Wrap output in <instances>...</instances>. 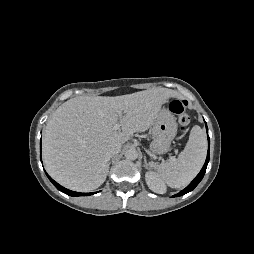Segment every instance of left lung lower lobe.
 Segmentation results:
<instances>
[{"mask_svg":"<svg viewBox=\"0 0 254 254\" xmlns=\"http://www.w3.org/2000/svg\"><path fill=\"white\" fill-rule=\"evenodd\" d=\"M206 129H207V133H208L207 125H206ZM209 145H210V139L208 136V153H207V158H206L203 168L201 169L200 173L194 178V180L185 189H183L182 191H180L178 194L174 195L173 197L182 196V195L192 191L199 184V182L202 180V178L205 174L208 162H209Z\"/></svg>","mask_w":254,"mask_h":254,"instance_id":"1","label":"left lung lower lobe"}]
</instances>
